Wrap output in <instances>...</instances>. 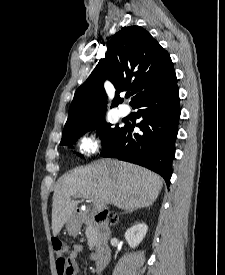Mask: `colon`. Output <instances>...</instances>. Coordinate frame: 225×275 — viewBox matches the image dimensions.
Listing matches in <instances>:
<instances>
[{
    "label": "colon",
    "mask_w": 225,
    "mask_h": 275,
    "mask_svg": "<svg viewBox=\"0 0 225 275\" xmlns=\"http://www.w3.org/2000/svg\"><path fill=\"white\" fill-rule=\"evenodd\" d=\"M97 218L106 224H113L117 221V216L111 211L104 210L97 215ZM53 251L57 256L56 270L58 275H70L71 267L66 257L68 253V244L60 239H53Z\"/></svg>",
    "instance_id": "1"
}]
</instances>
